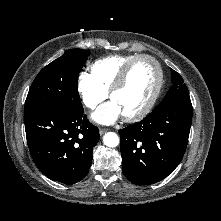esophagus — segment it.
I'll return each mask as SVG.
<instances>
[{
	"label": "esophagus",
	"instance_id": "esophagus-1",
	"mask_svg": "<svg viewBox=\"0 0 221 221\" xmlns=\"http://www.w3.org/2000/svg\"><path fill=\"white\" fill-rule=\"evenodd\" d=\"M108 131V129H106V128H100L99 129V134L100 135H103L104 133H106Z\"/></svg>",
	"mask_w": 221,
	"mask_h": 221
}]
</instances>
